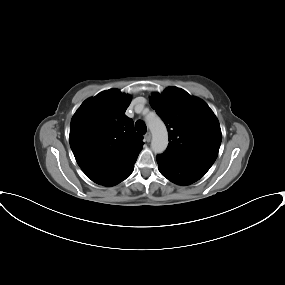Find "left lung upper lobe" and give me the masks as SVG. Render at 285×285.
<instances>
[{"label":"left lung upper lobe","instance_id":"1","mask_svg":"<svg viewBox=\"0 0 285 285\" xmlns=\"http://www.w3.org/2000/svg\"><path fill=\"white\" fill-rule=\"evenodd\" d=\"M150 105L169 132L170 142L164 154L209 169L222 140L218 119L209 106L177 87L152 94Z\"/></svg>","mask_w":285,"mask_h":285}]
</instances>
